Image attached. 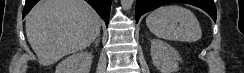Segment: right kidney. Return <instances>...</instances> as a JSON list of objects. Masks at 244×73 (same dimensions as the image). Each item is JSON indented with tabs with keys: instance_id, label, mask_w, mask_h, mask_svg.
Segmentation results:
<instances>
[{
	"instance_id": "obj_1",
	"label": "right kidney",
	"mask_w": 244,
	"mask_h": 73,
	"mask_svg": "<svg viewBox=\"0 0 244 73\" xmlns=\"http://www.w3.org/2000/svg\"><path fill=\"white\" fill-rule=\"evenodd\" d=\"M92 60L91 53L85 51L75 53L57 65L56 73H89Z\"/></svg>"
}]
</instances>
